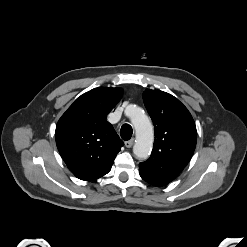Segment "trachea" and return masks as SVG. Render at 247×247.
Returning <instances> with one entry per match:
<instances>
[{
	"instance_id": "trachea-1",
	"label": "trachea",
	"mask_w": 247,
	"mask_h": 247,
	"mask_svg": "<svg viewBox=\"0 0 247 247\" xmlns=\"http://www.w3.org/2000/svg\"><path fill=\"white\" fill-rule=\"evenodd\" d=\"M132 133H133V130L129 124L122 125L121 130H120V135L123 140L125 141L129 140L132 136Z\"/></svg>"
}]
</instances>
